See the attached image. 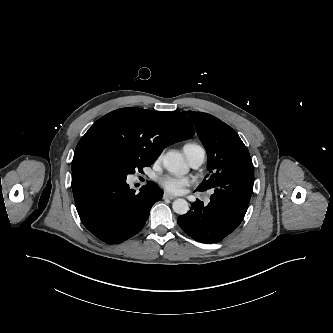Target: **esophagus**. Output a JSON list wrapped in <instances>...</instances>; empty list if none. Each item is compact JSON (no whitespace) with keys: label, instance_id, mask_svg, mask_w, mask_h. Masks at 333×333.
Masks as SVG:
<instances>
[{"label":"esophagus","instance_id":"obj_1","mask_svg":"<svg viewBox=\"0 0 333 333\" xmlns=\"http://www.w3.org/2000/svg\"><path fill=\"white\" fill-rule=\"evenodd\" d=\"M163 198H164V199H170V200H173V199H175V196H173V195H171V194L165 192V193L163 194Z\"/></svg>","mask_w":333,"mask_h":333}]
</instances>
